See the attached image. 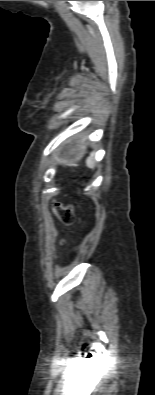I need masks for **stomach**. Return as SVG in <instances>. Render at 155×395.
Listing matches in <instances>:
<instances>
[{"mask_svg":"<svg viewBox=\"0 0 155 395\" xmlns=\"http://www.w3.org/2000/svg\"><path fill=\"white\" fill-rule=\"evenodd\" d=\"M82 155V153L81 152H78V156H81Z\"/></svg>","mask_w":155,"mask_h":395,"instance_id":"0dacf381","label":"stomach"}]
</instances>
